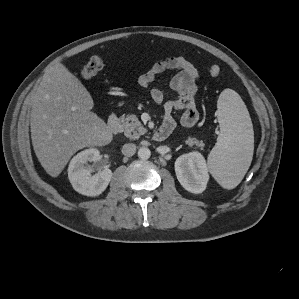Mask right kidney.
Returning a JSON list of instances; mask_svg holds the SVG:
<instances>
[{"label":"right kidney","instance_id":"ca27d5eb","mask_svg":"<svg viewBox=\"0 0 299 299\" xmlns=\"http://www.w3.org/2000/svg\"><path fill=\"white\" fill-rule=\"evenodd\" d=\"M100 152L96 148H89L75 155L68 166V178L75 191L86 196H98L108 186L112 171L108 168L92 174L89 162L99 160Z\"/></svg>","mask_w":299,"mask_h":299}]
</instances>
